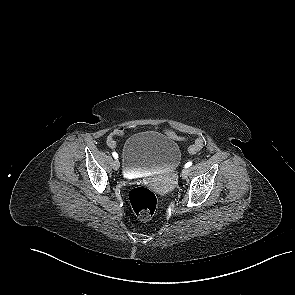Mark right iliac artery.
I'll use <instances>...</instances> for the list:
<instances>
[{"mask_svg": "<svg viewBox=\"0 0 295 295\" xmlns=\"http://www.w3.org/2000/svg\"><path fill=\"white\" fill-rule=\"evenodd\" d=\"M112 155H113V157H114L115 159L118 158V154H117L116 152H113Z\"/></svg>", "mask_w": 295, "mask_h": 295, "instance_id": "1", "label": "right iliac artery"}]
</instances>
